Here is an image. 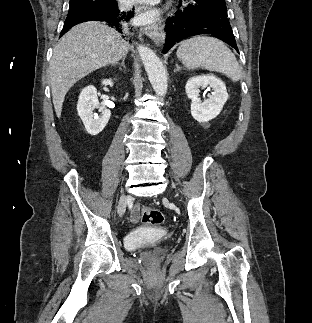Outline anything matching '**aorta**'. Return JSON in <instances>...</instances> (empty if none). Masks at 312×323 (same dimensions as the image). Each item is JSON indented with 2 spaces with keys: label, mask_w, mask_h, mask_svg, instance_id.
Returning a JSON list of instances; mask_svg holds the SVG:
<instances>
[{
  "label": "aorta",
  "mask_w": 312,
  "mask_h": 323,
  "mask_svg": "<svg viewBox=\"0 0 312 323\" xmlns=\"http://www.w3.org/2000/svg\"><path fill=\"white\" fill-rule=\"evenodd\" d=\"M137 50L154 92L157 96H165L168 86L167 76L160 58L154 54L153 50L141 44L137 46Z\"/></svg>",
  "instance_id": "obj_1"
}]
</instances>
